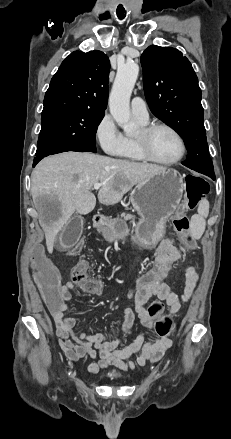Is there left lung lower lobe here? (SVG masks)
<instances>
[{
  "label": "left lung lower lobe",
  "instance_id": "1",
  "mask_svg": "<svg viewBox=\"0 0 231 439\" xmlns=\"http://www.w3.org/2000/svg\"><path fill=\"white\" fill-rule=\"evenodd\" d=\"M210 177H211L212 179H215V175H211Z\"/></svg>",
  "mask_w": 231,
  "mask_h": 439
}]
</instances>
